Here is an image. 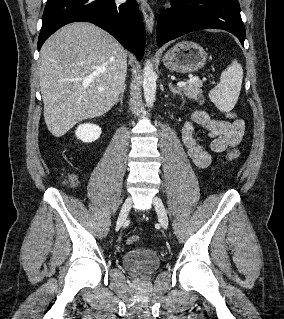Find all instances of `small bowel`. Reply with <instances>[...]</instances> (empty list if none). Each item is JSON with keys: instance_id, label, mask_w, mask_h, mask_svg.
<instances>
[{"instance_id": "1", "label": "small bowel", "mask_w": 284, "mask_h": 319, "mask_svg": "<svg viewBox=\"0 0 284 319\" xmlns=\"http://www.w3.org/2000/svg\"><path fill=\"white\" fill-rule=\"evenodd\" d=\"M196 127L205 130L211 139L210 150L214 153H225L237 146L243 139L245 123L242 119L232 121L213 119L202 110H196L191 120L182 125L181 134L186 153L198 168H206L211 163V152L204 149L195 135Z\"/></svg>"}]
</instances>
